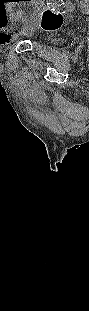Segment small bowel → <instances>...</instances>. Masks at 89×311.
I'll use <instances>...</instances> for the list:
<instances>
[{
  "label": "small bowel",
  "instance_id": "1",
  "mask_svg": "<svg viewBox=\"0 0 89 311\" xmlns=\"http://www.w3.org/2000/svg\"><path fill=\"white\" fill-rule=\"evenodd\" d=\"M15 37L13 33H2L0 36V44L3 46L8 45L15 40Z\"/></svg>",
  "mask_w": 89,
  "mask_h": 311
}]
</instances>
